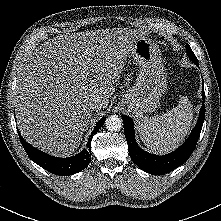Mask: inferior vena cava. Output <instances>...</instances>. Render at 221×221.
Segmentation results:
<instances>
[{
  "instance_id": "obj_1",
  "label": "inferior vena cava",
  "mask_w": 221,
  "mask_h": 221,
  "mask_svg": "<svg viewBox=\"0 0 221 221\" xmlns=\"http://www.w3.org/2000/svg\"><path fill=\"white\" fill-rule=\"evenodd\" d=\"M89 109H96L100 107V103L98 100H93L88 103Z\"/></svg>"
}]
</instances>
